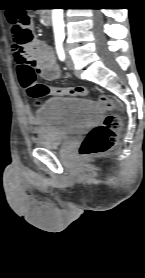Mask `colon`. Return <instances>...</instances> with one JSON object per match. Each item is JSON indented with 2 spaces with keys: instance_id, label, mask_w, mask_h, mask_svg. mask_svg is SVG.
<instances>
[{
  "instance_id": "colon-1",
  "label": "colon",
  "mask_w": 145,
  "mask_h": 278,
  "mask_svg": "<svg viewBox=\"0 0 145 278\" xmlns=\"http://www.w3.org/2000/svg\"><path fill=\"white\" fill-rule=\"evenodd\" d=\"M8 24L14 43L22 48H28L33 43L31 31V18L25 10H18L7 16ZM22 88L35 100L49 96H85V87H52L40 82L34 74L24 77L21 81ZM99 105L106 110L116 111L118 105L110 95L103 94L99 97ZM122 125V118L117 113L107 115L104 121L91 128L79 146V154L89 158L112 149L117 141V133Z\"/></svg>"
}]
</instances>
